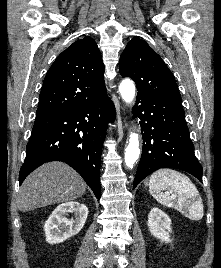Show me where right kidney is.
<instances>
[{
    "mask_svg": "<svg viewBox=\"0 0 221 268\" xmlns=\"http://www.w3.org/2000/svg\"><path fill=\"white\" fill-rule=\"evenodd\" d=\"M88 212V208L79 202L59 205L44 224L46 241L58 244L78 234L86 222ZM69 213H73L74 218L68 219Z\"/></svg>",
    "mask_w": 221,
    "mask_h": 268,
    "instance_id": "right-kidney-1",
    "label": "right kidney"
}]
</instances>
